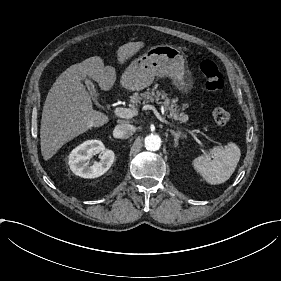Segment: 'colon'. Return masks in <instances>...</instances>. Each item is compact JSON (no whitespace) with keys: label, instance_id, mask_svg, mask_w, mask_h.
Listing matches in <instances>:
<instances>
[{"label":"colon","instance_id":"5ec220e1","mask_svg":"<svg viewBox=\"0 0 281 281\" xmlns=\"http://www.w3.org/2000/svg\"><path fill=\"white\" fill-rule=\"evenodd\" d=\"M205 79L206 87L210 90H220L224 85V77L218 67L212 61H203L200 65ZM215 122L224 126L228 124L230 116L226 110L217 109L213 114Z\"/></svg>","mask_w":281,"mask_h":281}]
</instances>
